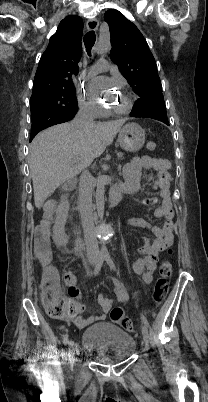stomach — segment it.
<instances>
[{"instance_id":"stomach-1","label":"stomach","mask_w":208,"mask_h":402,"mask_svg":"<svg viewBox=\"0 0 208 402\" xmlns=\"http://www.w3.org/2000/svg\"><path fill=\"white\" fill-rule=\"evenodd\" d=\"M118 142L126 152H138L144 146L145 132L138 124H126L119 132Z\"/></svg>"}]
</instances>
